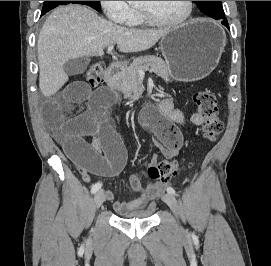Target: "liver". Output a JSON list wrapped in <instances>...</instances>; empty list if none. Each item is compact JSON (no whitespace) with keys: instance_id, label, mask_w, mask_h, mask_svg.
Instances as JSON below:
<instances>
[{"instance_id":"1","label":"liver","mask_w":271,"mask_h":266,"mask_svg":"<svg viewBox=\"0 0 271 266\" xmlns=\"http://www.w3.org/2000/svg\"><path fill=\"white\" fill-rule=\"evenodd\" d=\"M169 29H131L101 18L82 5L54 10L38 37L39 87L45 97L55 94L68 81L62 67L71 58L101 56L107 46L117 44L124 53L153 47Z\"/></svg>"}]
</instances>
